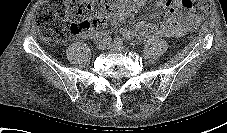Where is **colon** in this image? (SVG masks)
Instances as JSON below:
<instances>
[{
    "label": "colon",
    "mask_w": 227,
    "mask_h": 133,
    "mask_svg": "<svg viewBox=\"0 0 227 133\" xmlns=\"http://www.w3.org/2000/svg\"><path fill=\"white\" fill-rule=\"evenodd\" d=\"M184 8L204 17L210 12L209 0H181ZM119 9L111 0H45L36 15L40 37L49 43L64 42L71 33L103 28Z\"/></svg>",
    "instance_id": "obj_1"
}]
</instances>
